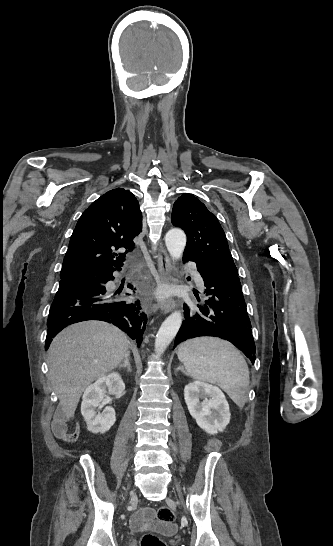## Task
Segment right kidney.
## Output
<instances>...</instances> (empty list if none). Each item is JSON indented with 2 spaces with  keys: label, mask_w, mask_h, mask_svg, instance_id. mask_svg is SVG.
<instances>
[{
  "label": "right kidney",
  "mask_w": 333,
  "mask_h": 546,
  "mask_svg": "<svg viewBox=\"0 0 333 546\" xmlns=\"http://www.w3.org/2000/svg\"><path fill=\"white\" fill-rule=\"evenodd\" d=\"M124 389L125 384L120 374L116 372L98 378L94 384L86 388L82 397L81 413L90 432L105 433L114 425L116 421L114 408L107 406L103 412H99L97 408L101 405L107 390L116 398H120Z\"/></svg>",
  "instance_id": "right-kidney-1"
}]
</instances>
